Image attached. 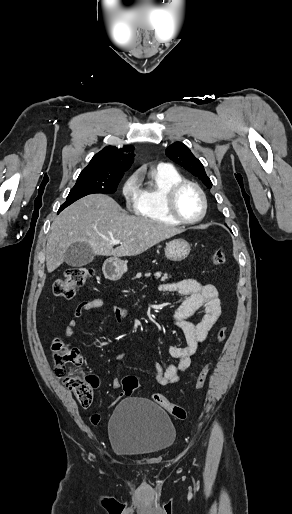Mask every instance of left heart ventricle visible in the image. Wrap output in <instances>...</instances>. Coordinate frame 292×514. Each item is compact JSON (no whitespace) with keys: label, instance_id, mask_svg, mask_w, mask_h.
I'll return each instance as SVG.
<instances>
[{"label":"left heart ventricle","instance_id":"obj_1","mask_svg":"<svg viewBox=\"0 0 292 514\" xmlns=\"http://www.w3.org/2000/svg\"><path fill=\"white\" fill-rule=\"evenodd\" d=\"M176 210L186 220L195 219L199 215L200 198L193 188L185 187L179 191L176 196Z\"/></svg>","mask_w":292,"mask_h":514}]
</instances>
